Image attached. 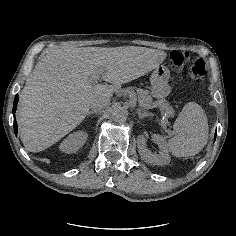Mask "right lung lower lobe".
<instances>
[{
	"label": "right lung lower lobe",
	"mask_w": 236,
	"mask_h": 236,
	"mask_svg": "<svg viewBox=\"0 0 236 236\" xmlns=\"http://www.w3.org/2000/svg\"><path fill=\"white\" fill-rule=\"evenodd\" d=\"M17 103H18V95H16L15 100H14V104H13V113H15L16 111V107H17ZM14 132L17 135L18 132V125L16 123V118L14 116Z\"/></svg>",
	"instance_id": "right-lung-lower-lobe-1"
}]
</instances>
